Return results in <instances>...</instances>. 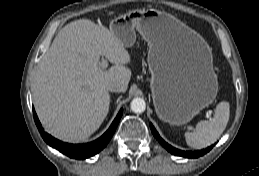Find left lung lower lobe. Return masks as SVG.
<instances>
[{
  "instance_id": "0a47b994",
  "label": "left lung lower lobe",
  "mask_w": 259,
  "mask_h": 176,
  "mask_svg": "<svg viewBox=\"0 0 259 176\" xmlns=\"http://www.w3.org/2000/svg\"><path fill=\"white\" fill-rule=\"evenodd\" d=\"M150 128L152 131V134L155 136V138L161 143V145L163 147H165L169 152H171L174 155L177 156H183V157H188V158H197L200 157L204 154H206L207 152H209L213 146H210L208 148H206L205 150H198V151H194V152H185L182 150H178L176 148H173L172 146H170L169 144H167L157 133L156 129L153 127L152 124H150Z\"/></svg>"
}]
</instances>
